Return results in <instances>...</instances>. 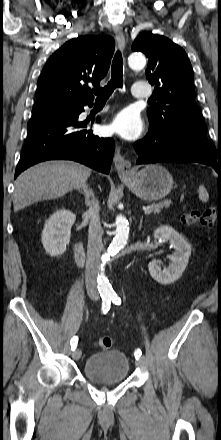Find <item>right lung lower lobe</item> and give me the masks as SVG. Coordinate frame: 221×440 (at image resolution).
<instances>
[{"mask_svg":"<svg viewBox=\"0 0 221 440\" xmlns=\"http://www.w3.org/2000/svg\"><path fill=\"white\" fill-rule=\"evenodd\" d=\"M84 105L32 114L14 178L36 163L53 159L74 160L109 173L115 142L94 136L92 130L85 129L86 122L78 121Z\"/></svg>","mask_w":221,"mask_h":440,"instance_id":"98d812e1","label":"right lung lower lobe"}]
</instances>
